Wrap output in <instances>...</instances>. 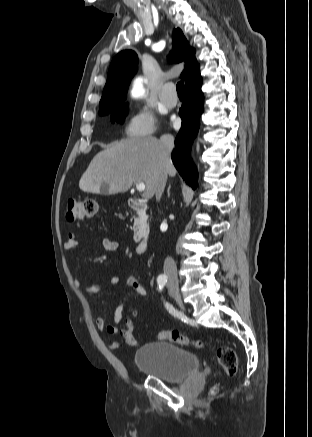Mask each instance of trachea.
Masks as SVG:
<instances>
[{
	"label": "trachea",
	"mask_w": 312,
	"mask_h": 437,
	"mask_svg": "<svg viewBox=\"0 0 312 437\" xmlns=\"http://www.w3.org/2000/svg\"><path fill=\"white\" fill-rule=\"evenodd\" d=\"M176 90L179 96H184V82L180 81L176 85Z\"/></svg>",
	"instance_id": "1"
}]
</instances>
